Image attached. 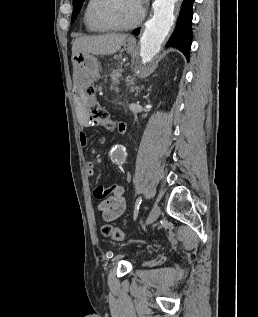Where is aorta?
I'll list each match as a JSON object with an SVG mask.
<instances>
[{
    "label": "aorta",
    "mask_w": 258,
    "mask_h": 317,
    "mask_svg": "<svg viewBox=\"0 0 258 317\" xmlns=\"http://www.w3.org/2000/svg\"><path fill=\"white\" fill-rule=\"evenodd\" d=\"M178 0H155L153 16L145 23V30L140 38V56L142 64L150 62L159 53L161 45L168 35L174 22V9ZM126 158L125 148L115 146L112 159L122 164Z\"/></svg>",
    "instance_id": "obj_1"
}]
</instances>
